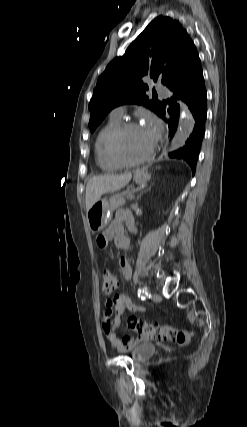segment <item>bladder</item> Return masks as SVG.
<instances>
[{"instance_id": "1", "label": "bladder", "mask_w": 247, "mask_h": 427, "mask_svg": "<svg viewBox=\"0 0 247 427\" xmlns=\"http://www.w3.org/2000/svg\"><path fill=\"white\" fill-rule=\"evenodd\" d=\"M156 352L155 345L151 343H143L135 346L131 350V357L137 362H143L151 358Z\"/></svg>"}]
</instances>
